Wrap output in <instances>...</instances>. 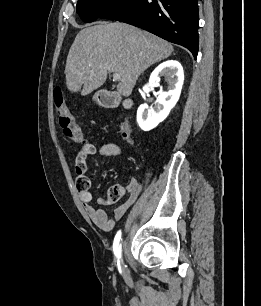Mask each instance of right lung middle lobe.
Instances as JSON below:
<instances>
[{
    "instance_id": "right-lung-middle-lobe-1",
    "label": "right lung middle lobe",
    "mask_w": 261,
    "mask_h": 306,
    "mask_svg": "<svg viewBox=\"0 0 261 306\" xmlns=\"http://www.w3.org/2000/svg\"><path fill=\"white\" fill-rule=\"evenodd\" d=\"M121 0H78L77 13L84 22L98 19Z\"/></svg>"
}]
</instances>
